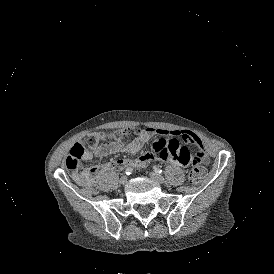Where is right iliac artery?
<instances>
[{
	"label": "right iliac artery",
	"mask_w": 274,
	"mask_h": 274,
	"mask_svg": "<svg viewBox=\"0 0 274 274\" xmlns=\"http://www.w3.org/2000/svg\"><path fill=\"white\" fill-rule=\"evenodd\" d=\"M132 173V168H127L126 170H125V174L126 175H130Z\"/></svg>",
	"instance_id": "obj_1"
}]
</instances>
